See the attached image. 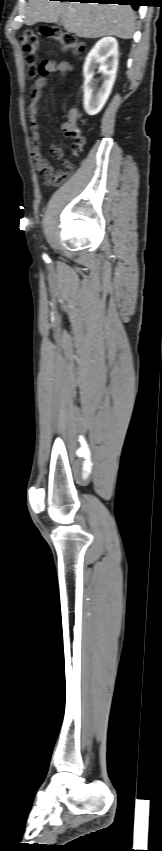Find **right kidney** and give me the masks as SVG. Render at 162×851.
I'll return each mask as SVG.
<instances>
[{
  "label": "right kidney",
  "mask_w": 162,
  "mask_h": 851,
  "mask_svg": "<svg viewBox=\"0 0 162 851\" xmlns=\"http://www.w3.org/2000/svg\"><path fill=\"white\" fill-rule=\"evenodd\" d=\"M103 75V83L97 88L93 79L95 69ZM118 68V43L113 37L100 39L86 57L84 75V109L90 116L98 114L106 103Z\"/></svg>",
  "instance_id": "right-kidney-1"
}]
</instances>
